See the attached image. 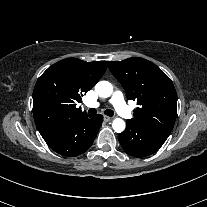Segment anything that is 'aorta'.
I'll return each mask as SVG.
<instances>
[{
	"instance_id": "obj_1",
	"label": "aorta",
	"mask_w": 207,
	"mask_h": 207,
	"mask_svg": "<svg viewBox=\"0 0 207 207\" xmlns=\"http://www.w3.org/2000/svg\"><path fill=\"white\" fill-rule=\"evenodd\" d=\"M95 90L98 95L102 98H108L113 93V86L108 81H99L96 86ZM113 129L120 133L125 130V121L121 118H115L112 122Z\"/></svg>"
}]
</instances>
